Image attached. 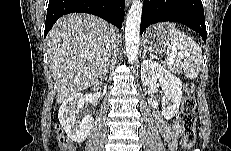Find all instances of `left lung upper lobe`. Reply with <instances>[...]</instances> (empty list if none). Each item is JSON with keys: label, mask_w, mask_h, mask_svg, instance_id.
Returning <instances> with one entry per match:
<instances>
[{"label": "left lung upper lobe", "mask_w": 231, "mask_h": 151, "mask_svg": "<svg viewBox=\"0 0 231 151\" xmlns=\"http://www.w3.org/2000/svg\"><path fill=\"white\" fill-rule=\"evenodd\" d=\"M173 1H175V0H167V2H173Z\"/></svg>", "instance_id": "obj_1"}]
</instances>
